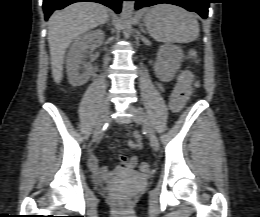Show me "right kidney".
<instances>
[{"mask_svg":"<svg viewBox=\"0 0 260 217\" xmlns=\"http://www.w3.org/2000/svg\"><path fill=\"white\" fill-rule=\"evenodd\" d=\"M104 39V33L96 29L79 36L70 47L66 68L69 83L73 86H82L92 74V66L85 62L84 53ZM83 65V68L81 67ZM82 70V71H81Z\"/></svg>","mask_w":260,"mask_h":217,"instance_id":"1","label":"right kidney"}]
</instances>
